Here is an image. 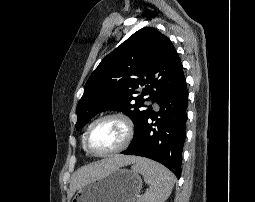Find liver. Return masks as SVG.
I'll return each instance as SVG.
<instances>
[{"instance_id": "6515ba94", "label": "liver", "mask_w": 255, "mask_h": 202, "mask_svg": "<svg viewBox=\"0 0 255 202\" xmlns=\"http://www.w3.org/2000/svg\"><path fill=\"white\" fill-rule=\"evenodd\" d=\"M138 159L139 158L135 156L113 155L109 158L79 168L72 177L70 195H73L83 184L102 177L119 167L135 163Z\"/></svg>"}]
</instances>
